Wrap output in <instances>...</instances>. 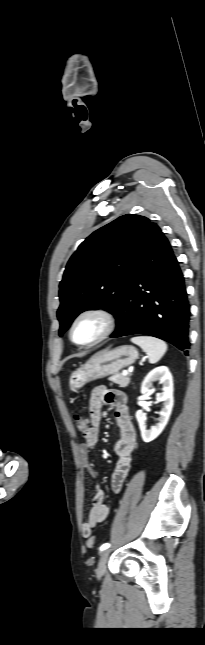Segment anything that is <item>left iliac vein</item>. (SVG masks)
I'll return each mask as SVG.
<instances>
[{
    "label": "left iliac vein",
    "mask_w": 205,
    "mask_h": 645,
    "mask_svg": "<svg viewBox=\"0 0 205 645\" xmlns=\"http://www.w3.org/2000/svg\"><path fill=\"white\" fill-rule=\"evenodd\" d=\"M109 555H110L109 549L103 550L100 554V559L95 571L98 579H100L104 575L106 563L109 558Z\"/></svg>",
    "instance_id": "1"
}]
</instances>
